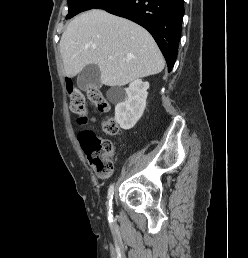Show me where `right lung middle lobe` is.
Instances as JSON below:
<instances>
[{
  "instance_id": "right-lung-middle-lobe-1",
  "label": "right lung middle lobe",
  "mask_w": 248,
  "mask_h": 258,
  "mask_svg": "<svg viewBox=\"0 0 248 258\" xmlns=\"http://www.w3.org/2000/svg\"><path fill=\"white\" fill-rule=\"evenodd\" d=\"M110 1L111 0H68L69 13L66 16V19H69L80 12L98 8Z\"/></svg>"
}]
</instances>
